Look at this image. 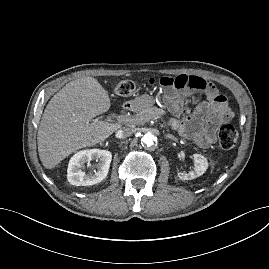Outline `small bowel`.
Here are the masks:
<instances>
[{
	"label": "small bowel",
	"instance_id": "c3829d8e",
	"mask_svg": "<svg viewBox=\"0 0 269 269\" xmlns=\"http://www.w3.org/2000/svg\"><path fill=\"white\" fill-rule=\"evenodd\" d=\"M150 88L172 93L178 90L204 91L206 100L197 105L194 112L182 120H173V126L181 135L192 139L202 148L209 147L215 140L217 128L232 119L233 112L227 99L220 94L213 82L191 75L152 76L148 80ZM167 105L170 111L178 114L182 110L181 100L176 95L169 96Z\"/></svg>",
	"mask_w": 269,
	"mask_h": 269
}]
</instances>
